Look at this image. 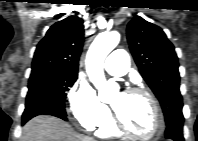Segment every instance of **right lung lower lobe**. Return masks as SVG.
Segmentation results:
<instances>
[{"label": "right lung lower lobe", "instance_id": "98d812e1", "mask_svg": "<svg viewBox=\"0 0 198 141\" xmlns=\"http://www.w3.org/2000/svg\"><path fill=\"white\" fill-rule=\"evenodd\" d=\"M41 114L52 115V116L59 117L63 120H67L66 113L63 111H59V110L52 109L49 107H44V106H31V107L25 108V111L22 117V123L25 124L31 118L37 115H41Z\"/></svg>", "mask_w": 198, "mask_h": 141}]
</instances>
